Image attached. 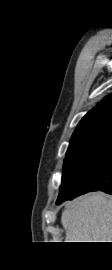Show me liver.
<instances>
[{
	"label": "liver",
	"mask_w": 112,
	"mask_h": 270,
	"mask_svg": "<svg viewBox=\"0 0 112 270\" xmlns=\"http://www.w3.org/2000/svg\"><path fill=\"white\" fill-rule=\"evenodd\" d=\"M61 223L66 242H112V197L96 192L76 199Z\"/></svg>",
	"instance_id": "liver-1"
}]
</instances>
